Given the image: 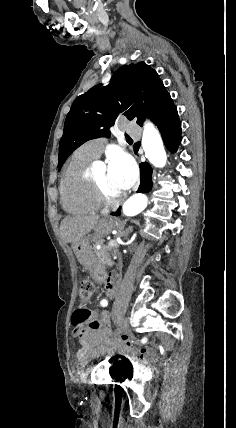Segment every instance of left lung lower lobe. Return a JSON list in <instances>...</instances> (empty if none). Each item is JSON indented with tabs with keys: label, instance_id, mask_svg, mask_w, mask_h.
<instances>
[{
	"label": "left lung lower lobe",
	"instance_id": "1",
	"mask_svg": "<svg viewBox=\"0 0 236 428\" xmlns=\"http://www.w3.org/2000/svg\"><path fill=\"white\" fill-rule=\"evenodd\" d=\"M152 120L158 126L166 148L175 153L181 142V122L173 101L160 110ZM140 171L141 182L137 192L147 193L152 189V168L147 163H141ZM111 215H120V210Z\"/></svg>",
	"mask_w": 236,
	"mask_h": 428
}]
</instances>
